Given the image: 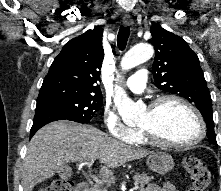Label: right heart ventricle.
Here are the masks:
<instances>
[{
    "instance_id": "1",
    "label": "right heart ventricle",
    "mask_w": 221,
    "mask_h": 191,
    "mask_svg": "<svg viewBox=\"0 0 221 191\" xmlns=\"http://www.w3.org/2000/svg\"><path fill=\"white\" fill-rule=\"evenodd\" d=\"M132 144H138V145H143L146 144L147 141L145 139V137L143 136L142 132L139 131L136 138L134 139L133 142H131Z\"/></svg>"
}]
</instances>
